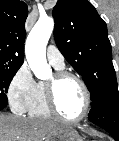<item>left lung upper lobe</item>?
Instances as JSON below:
<instances>
[{
	"instance_id": "1",
	"label": "left lung upper lobe",
	"mask_w": 119,
	"mask_h": 141,
	"mask_svg": "<svg viewBox=\"0 0 119 141\" xmlns=\"http://www.w3.org/2000/svg\"><path fill=\"white\" fill-rule=\"evenodd\" d=\"M58 49L82 76L95 106L119 94L107 26L87 0H58L53 9Z\"/></svg>"
}]
</instances>
